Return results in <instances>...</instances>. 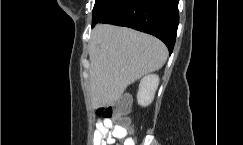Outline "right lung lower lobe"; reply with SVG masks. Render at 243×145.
I'll return each instance as SVG.
<instances>
[{
	"instance_id": "right-lung-lower-lobe-1",
	"label": "right lung lower lobe",
	"mask_w": 243,
	"mask_h": 145,
	"mask_svg": "<svg viewBox=\"0 0 243 145\" xmlns=\"http://www.w3.org/2000/svg\"><path fill=\"white\" fill-rule=\"evenodd\" d=\"M97 23L127 26L152 34L172 53L179 24L178 0H96L92 27Z\"/></svg>"
}]
</instances>
